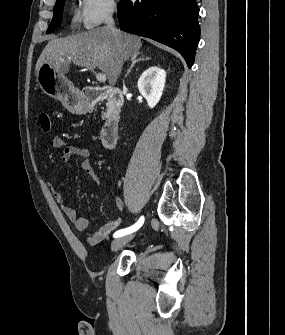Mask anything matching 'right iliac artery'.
I'll return each mask as SVG.
<instances>
[{
    "label": "right iliac artery",
    "mask_w": 285,
    "mask_h": 335,
    "mask_svg": "<svg viewBox=\"0 0 285 335\" xmlns=\"http://www.w3.org/2000/svg\"><path fill=\"white\" fill-rule=\"evenodd\" d=\"M143 223H144V217L142 216L134 225H132L131 227L116 231L113 236L117 238V237H121V236L130 234V233H133L137 231L143 225Z\"/></svg>",
    "instance_id": "obj_1"
}]
</instances>
